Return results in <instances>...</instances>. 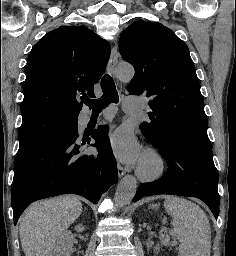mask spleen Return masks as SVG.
<instances>
[{
	"mask_svg": "<svg viewBox=\"0 0 236 256\" xmlns=\"http://www.w3.org/2000/svg\"><path fill=\"white\" fill-rule=\"evenodd\" d=\"M164 208L171 216L179 246V256H210L211 232L203 210L183 198L168 196Z\"/></svg>",
	"mask_w": 236,
	"mask_h": 256,
	"instance_id": "spleen-1",
	"label": "spleen"
}]
</instances>
